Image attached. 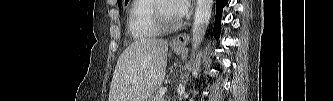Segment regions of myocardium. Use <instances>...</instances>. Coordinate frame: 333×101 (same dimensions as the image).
Listing matches in <instances>:
<instances>
[{
  "label": "myocardium",
  "instance_id": "1",
  "mask_svg": "<svg viewBox=\"0 0 333 101\" xmlns=\"http://www.w3.org/2000/svg\"><path fill=\"white\" fill-rule=\"evenodd\" d=\"M166 1H156L153 8L154 23L160 32H171L179 29L182 25L180 18L174 21H168L163 15V3Z\"/></svg>",
  "mask_w": 333,
  "mask_h": 101
}]
</instances>
